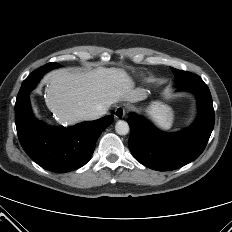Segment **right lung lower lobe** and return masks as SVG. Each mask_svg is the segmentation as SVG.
Returning a JSON list of instances; mask_svg holds the SVG:
<instances>
[{
    "label": "right lung lower lobe",
    "instance_id": "obj_1",
    "mask_svg": "<svg viewBox=\"0 0 232 232\" xmlns=\"http://www.w3.org/2000/svg\"><path fill=\"white\" fill-rule=\"evenodd\" d=\"M40 79L23 82L15 104V121L19 141L25 152L41 167L68 172L85 165L95 144L114 117L108 115L69 128L50 127L32 114L29 94Z\"/></svg>",
    "mask_w": 232,
    "mask_h": 232
}]
</instances>
